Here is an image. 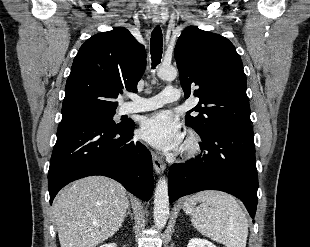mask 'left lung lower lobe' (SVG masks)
Here are the masks:
<instances>
[{
	"label": "left lung lower lobe",
	"instance_id": "obj_1",
	"mask_svg": "<svg viewBox=\"0 0 310 247\" xmlns=\"http://www.w3.org/2000/svg\"><path fill=\"white\" fill-rule=\"evenodd\" d=\"M202 139V153L169 169L170 203L202 190H220L239 198L253 218L258 174L251 126L221 127Z\"/></svg>",
	"mask_w": 310,
	"mask_h": 247
}]
</instances>
